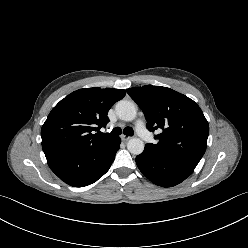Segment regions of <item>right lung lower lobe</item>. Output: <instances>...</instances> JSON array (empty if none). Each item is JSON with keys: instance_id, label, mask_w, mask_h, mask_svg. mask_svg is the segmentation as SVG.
Listing matches in <instances>:
<instances>
[{"instance_id": "obj_1", "label": "right lung lower lobe", "mask_w": 248, "mask_h": 248, "mask_svg": "<svg viewBox=\"0 0 248 248\" xmlns=\"http://www.w3.org/2000/svg\"><path fill=\"white\" fill-rule=\"evenodd\" d=\"M120 138L87 152L52 153L46 159L51 170L65 183L74 187L90 185L103 176L120 148Z\"/></svg>"}]
</instances>
